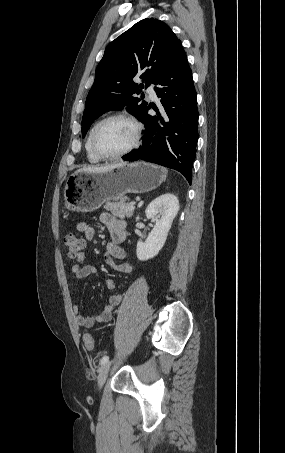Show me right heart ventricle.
Returning <instances> with one entry per match:
<instances>
[{"mask_svg": "<svg viewBox=\"0 0 285 453\" xmlns=\"http://www.w3.org/2000/svg\"><path fill=\"white\" fill-rule=\"evenodd\" d=\"M95 125L96 124H94L92 126V128L90 129L89 134L86 139V143H85V150H86L87 158L91 163H99L102 160L94 154L92 147H91V136H92V132L94 130Z\"/></svg>", "mask_w": 285, "mask_h": 453, "instance_id": "e07e8e85", "label": "right heart ventricle"}]
</instances>
